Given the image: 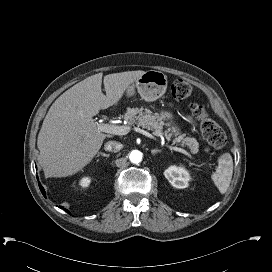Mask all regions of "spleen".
Returning <instances> with one entry per match:
<instances>
[{
  "instance_id": "spleen-1",
  "label": "spleen",
  "mask_w": 272,
  "mask_h": 272,
  "mask_svg": "<svg viewBox=\"0 0 272 272\" xmlns=\"http://www.w3.org/2000/svg\"><path fill=\"white\" fill-rule=\"evenodd\" d=\"M233 174V160L229 153L219 158V166L212 179L221 193H225L230 185Z\"/></svg>"
}]
</instances>
